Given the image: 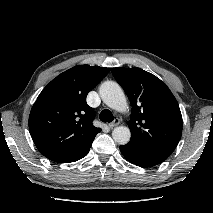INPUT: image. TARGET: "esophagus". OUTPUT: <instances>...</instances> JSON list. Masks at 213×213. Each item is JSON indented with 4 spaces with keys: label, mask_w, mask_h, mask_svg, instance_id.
<instances>
[{
    "label": "esophagus",
    "mask_w": 213,
    "mask_h": 213,
    "mask_svg": "<svg viewBox=\"0 0 213 213\" xmlns=\"http://www.w3.org/2000/svg\"><path fill=\"white\" fill-rule=\"evenodd\" d=\"M120 124V120L118 118L114 119V121L112 123H110L108 126L110 128H114L116 126H118Z\"/></svg>",
    "instance_id": "obj_1"
}]
</instances>
